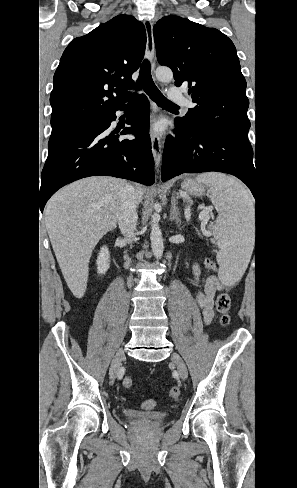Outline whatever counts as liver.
Returning a JSON list of instances; mask_svg holds the SVG:
<instances>
[{"label": "liver", "mask_w": 297, "mask_h": 488, "mask_svg": "<svg viewBox=\"0 0 297 488\" xmlns=\"http://www.w3.org/2000/svg\"><path fill=\"white\" fill-rule=\"evenodd\" d=\"M126 184L112 177L85 178L56 192L46 205L47 232L64 279L77 298L86 291L93 249L116 227ZM134 189L139 202L143 190Z\"/></svg>", "instance_id": "1"}]
</instances>
